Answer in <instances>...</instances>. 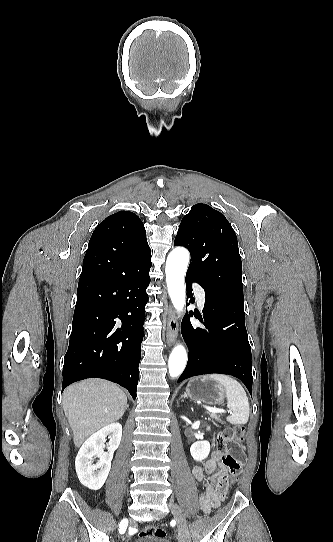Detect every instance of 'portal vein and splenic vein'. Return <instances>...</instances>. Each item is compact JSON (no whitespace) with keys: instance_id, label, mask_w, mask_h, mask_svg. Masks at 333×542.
Segmentation results:
<instances>
[{"instance_id":"18ae733b","label":"portal vein and splenic vein","mask_w":333,"mask_h":542,"mask_svg":"<svg viewBox=\"0 0 333 542\" xmlns=\"http://www.w3.org/2000/svg\"><path fill=\"white\" fill-rule=\"evenodd\" d=\"M205 410L212 412V414H218V412H226V410H219V408H210V406H205Z\"/></svg>"}]
</instances>
